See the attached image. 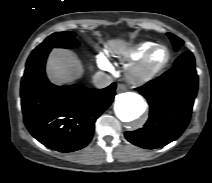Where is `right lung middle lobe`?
<instances>
[{
	"label": "right lung middle lobe",
	"mask_w": 212,
	"mask_h": 183,
	"mask_svg": "<svg viewBox=\"0 0 212 183\" xmlns=\"http://www.w3.org/2000/svg\"><path fill=\"white\" fill-rule=\"evenodd\" d=\"M79 45L75 34L69 31L57 32L45 39L35 50L52 48H74Z\"/></svg>",
	"instance_id": "right-lung-middle-lobe-1"
}]
</instances>
